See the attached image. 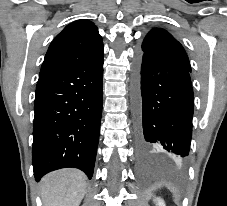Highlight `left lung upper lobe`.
I'll use <instances>...</instances> for the list:
<instances>
[{"instance_id": "1", "label": "left lung upper lobe", "mask_w": 227, "mask_h": 206, "mask_svg": "<svg viewBox=\"0 0 227 206\" xmlns=\"http://www.w3.org/2000/svg\"><path fill=\"white\" fill-rule=\"evenodd\" d=\"M140 54L167 61L191 71L190 62L184 48L164 29L154 28L146 35Z\"/></svg>"}]
</instances>
